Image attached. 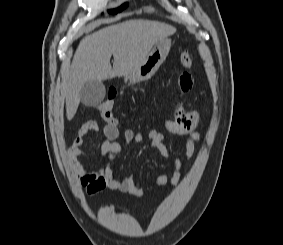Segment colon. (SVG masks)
Segmentation results:
<instances>
[{
    "mask_svg": "<svg viewBox=\"0 0 283 245\" xmlns=\"http://www.w3.org/2000/svg\"><path fill=\"white\" fill-rule=\"evenodd\" d=\"M180 63L183 67L188 68L193 63V57L189 52H183L180 56ZM116 92L110 90L108 92L107 98L102 101L98 106L97 109L100 112L101 117L107 122L111 124L117 125V120L113 116V106L115 102Z\"/></svg>",
    "mask_w": 283,
    "mask_h": 245,
    "instance_id": "obj_1",
    "label": "colon"
}]
</instances>
